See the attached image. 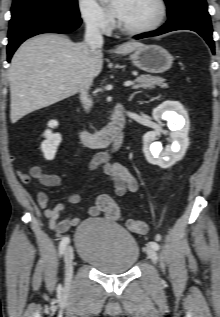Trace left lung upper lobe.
Returning <instances> with one entry per match:
<instances>
[{
	"label": "left lung upper lobe",
	"instance_id": "1",
	"mask_svg": "<svg viewBox=\"0 0 220 317\" xmlns=\"http://www.w3.org/2000/svg\"><path fill=\"white\" fill-rule=\"evenodd\" d=\"M185 1L186 0H165L168 8V15L175 13Z\"/></svg>",
	"mask_w": 220,
	"mask_h": 317
}]
</instances>
